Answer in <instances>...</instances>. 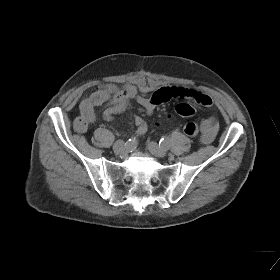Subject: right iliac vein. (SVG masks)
<instances>
[{
	"label": "right iliac vein",
	"mask_w": 280,
	"mask_h": 280,
	"mask_svg": "<svg viewBox=\"0 0 280 280\" xmlns=\"http://www.w3.org/2000/svg\"><path fill=\"white\" fill-rule=\"evenodd\" d=\"M125 148V144L122 140H118L113 145V150L115 153L119 154L121 153Z\"/></svg>",
	"instance_id": "obj_1"
}]
</instances>
